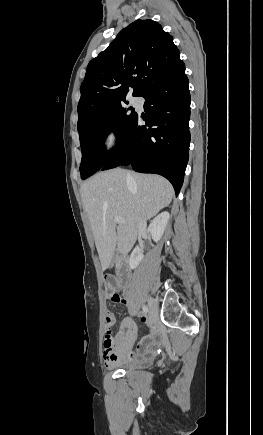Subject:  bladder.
Instances as JSON below:
<instances>
[{
	"mask_svg": "<svg viewBox=\"0 0 263 435\" xmlns=\"http://www.w3.org/2000/svg\"><path fill=\"white\" fill-rule=\"evenodd\" d=\"M146 364V361H137V362H131V363H126L124 365V368L126 369H140L143 368Z\"/></svg>",
	"mask_w": 263,
	"mask_h": 435,
	"instance_id": "31cf9c89",
	"label": "bladder"
}]
</instances>
